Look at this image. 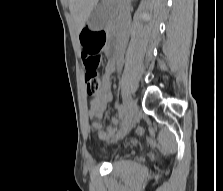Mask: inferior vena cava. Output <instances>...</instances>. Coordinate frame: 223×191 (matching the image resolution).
<instances>
[{"mask_svg": "<svg viewBox=\"0 0 223 191\" xmlns=\"http://www.w3.org/2000/svg\"><path fill=\"white\" fill-rule=\"evenodd\" d=\"M117 9H118V18L121 28V36L119 40V44L122 48H125L126 41L131 25V17H130V0H117Z\"/></svg>", "mask_w": 223, "mask_h": 191, "instance_id": "inferior-vena-cava-1", "label": "inferior vena cava"}]
</instances>
